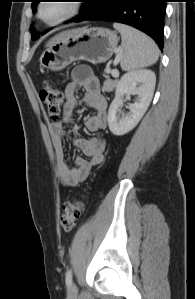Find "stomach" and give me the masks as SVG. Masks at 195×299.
<instances>
[{
	"label": "stomach",
	"instance_id": "obj_1",
	"mask_svg": "<svg viewBox=\"0 0 195 299\" xmlns=\"http://www.w3.org/2000/svg\"><path fill=\"white\" fill-rule=\"evenodd\" d=\"M119 38L115 31L101 27L73 29L49 46L40 56V65L60 71L74 61L104 63L113 54Z\"/></svg>",
	"mask_w": 195,
	"mask_h": 299
}]
</instances>
